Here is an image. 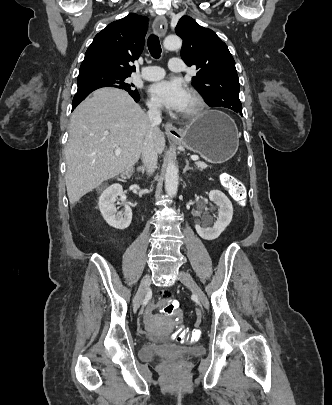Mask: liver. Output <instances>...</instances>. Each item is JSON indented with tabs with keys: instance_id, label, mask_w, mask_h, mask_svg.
<instances>
[{
	"instance_id": "1",
	"label": "liver",
	"mask_w": 332,
	"mask_h": 405,
	"mask_svg": "<svg viewBox=\"0 0 332 405\" xmlns=\"http://www.w3.org/2000/svg\"><path fill=\"white\" fill-rule=\"evenodd\" d=\"M149 131L148 116L123 90L101 88L78 105L65 148L70 203L129 170L139 160ZM153 140L161 154L165 136L158 127L153 130ZM117 148H121L119 155L115 154Z\"/></svg>"
}]
</instances>
